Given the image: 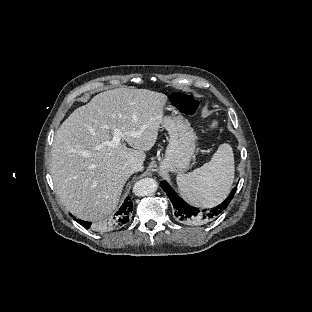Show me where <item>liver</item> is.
<instances>
[{"label":"liver","instance_id":"6515ba94","mask_svg":"<svg viewBox=\"0 0 312 312\" xmlns=\"http://www.w3.org/2000/svg\"><path fill=\"white\" fill-rule=\"evenodd\" d=\"M168 97L146 89L118 88L96 95L76 109L55 133L52 176L63 204L78 219L106 218L120 204L134 161L157 142ZM114 130L122 134L116 147L107 145ZM125 142L133 149L125 146Z\"/></svg>","mask_w":312,"mask_h":312}]
</instances>
